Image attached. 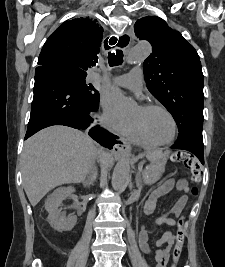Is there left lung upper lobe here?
I'll use <instances>...</instances> for the list:
<instances>
[{
    "instance_id": "left-lung-upper-lobe-1",
    "label": "left lung upper lobe",
    "mask_w": 225,
    "mask_h": 267,
    "mask_svg": "<svg viewBox=\"0 0 225 267\" xmlns=\"http://www.w3.org/2000/svg\"><path fill=\"white\" fill-rule=\"evenodd\" d=\"M138 38L152 45L143 70L150 93L175 119L183 140L203 128V73L200 58L183 36L157 16H147L134 25Z\"/></svg>"
}]
</instances>
